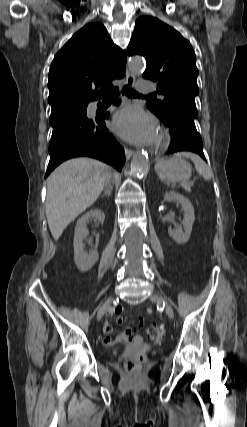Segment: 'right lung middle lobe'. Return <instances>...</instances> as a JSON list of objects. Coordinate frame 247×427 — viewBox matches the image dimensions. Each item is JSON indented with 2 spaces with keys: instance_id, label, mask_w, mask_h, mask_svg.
<instances>
[{
  "instance_id": "right-lung-middle-lobe-1",
  "label": "right lung middle lobe",
  "mask_w": 247,
  "mask_h": 427,
  "mask_svg": "<svg viewBox=\"0 0 247 427\" xmlns=\"http://www.w3.org/2000/svg\"><path fill=\"white\" fill-rule=\"evenodd\" d=\"M86 106H77V107H71V108H85Z\"/></svg>"
}]
</instances>
